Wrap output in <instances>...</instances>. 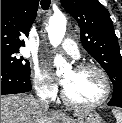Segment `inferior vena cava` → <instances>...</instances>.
I'll use <instances>...</instances> for the list:
<instances>
[{"instance_id":"inferior-vena-cava-1","label":"inferior vena cava","mask_w":122,"mask_h":123,"mask_svg":"<svg viewBox=\"0 0 122 123\" xmlns=\"http://www.w3.org/2000/svg\"><path fill=\"white\" fill-rule=\"evenodd\" d=\"M36 102H37V105L39 107V109L42 111V110H45V109H48L49 107V104H50V101L47 99V98H37L36 99Z\"/></svg>"}]
</instances>
